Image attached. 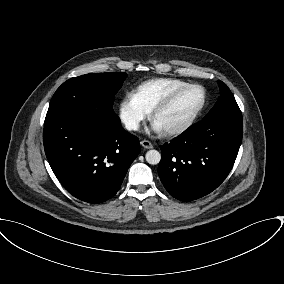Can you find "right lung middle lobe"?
Masks as SVG:
<instances>
[{
	"label": "right lung middle lobe",
	"instance_id": "1",
	"mask_svg": "<svg viewBox=\"0 0 284 284\" xmlns=\"http://www.w3.org/2000/svg\"><path fill=\"white\" fill-rule=\"evenodd\" d=\"M126 77V73L109 72L86 74L67 80L51 99L44 127L65 115L93 110L94 106L112 110L114 95Z\"/></svg>",
	"mask_w": 284,
	"mask_h": 284
}]
</instances>
